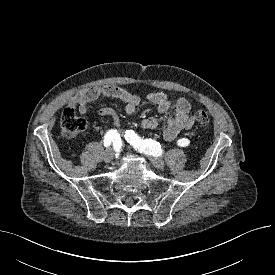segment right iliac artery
Wrapping results in <instances>:
<instances>
[{
    "label": "right iliac artery",
    "mask_w": 275,
    "mask_h": 275,
    "mask_svg": "<svg viewBox=\"0 0 275 275\" xmlns=\"http://www.w3.org/2000/svg\"><path fill=\"white\" fill-rule=\"evenodd\" d=\"M121 140L120 134L117 130L111 129L104 136V146L109 147L111 143L118 144Z\"/></svg>",
    "instance_id": "right-iliac-artery-1"
}]
</instances>
